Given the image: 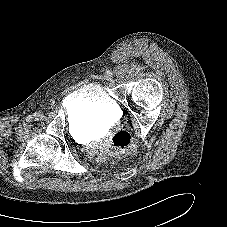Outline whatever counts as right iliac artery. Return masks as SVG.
<instances>
[{
	"label": "right iliac artery",
	"mask_w": 227,
	"mask_h": 227,
	"mask_svg": "<svg viewBox=\"0 0 227 227\" xmlns=\"http://www.w3.org/2000/svg\"><path fill=\"white\" fill-rule=\"evenodd\" d=\"M26 120H27V121H31V120H32V116H31V115L28 116Z\"/></svg>",
	"instance_id": "right-iliac-artery-1"
}]
</instances>
